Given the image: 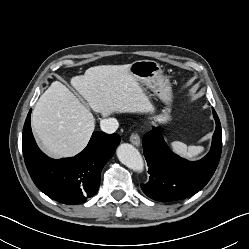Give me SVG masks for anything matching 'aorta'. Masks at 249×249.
<instances>
[{"mask_svg": "<svg viewBox=\"0 0 249 249\" xmlns=\"http://www.w3.org/2000/svg\"><path fill=\"white\" fill-rule=\"evenodd\" d=\"M117 157L119 161L136 172H142L144 162L139 151L131 144L124 143L117 148Z\"/></svg>", "mask_w": 249, "mask_h": 249, "instance_id": "1", "label": "aorta"}]
</instances>
